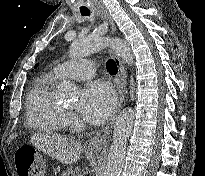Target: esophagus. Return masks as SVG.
<instances>
[{
	"mask_svg": "<svg viewBox=\"0 0 205 176\" xmlns=\"http://www.w3.org/2000/svg\"><path fill=\"white\" fill-rule=\"evenodd\" d=\"M94 12L97 16H99L101 19H108L109 15L107 13V11L103 8V7H96L94 9ZM111 32L115 33L116 29L114 27L113 22L111 21ZM111 54L115 60V63L117 65L118 68V74H117V78H116V84H117V88H118V93H119V105L118 108L112 118V120L100 131L98 132L95 136H93L88 142H87V147L88 148H97V147H101L103 146L106 141L107 138L109 136V134L112 131L113 125L115 123V120L120 112V109L122 107V104L126 98V94H127V75H126V71L124 69V66L122 64L121 59L117 56V54L114 51H111Z\"/></svg>",
	"mask_w": 205,
	"mask_h": 176,
	"instance_id": "34e87169",
	"label": "esophagus"
}]
</instances>
